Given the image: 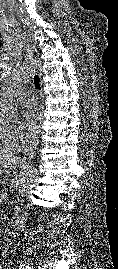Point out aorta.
<instances>
[{
  "label": "aorta",
  "instance_id": "aorta-1",
  "mask_svg": "<svg viewBox=\"0 0 118 269\" xmlns=\"http://www.w3.org/2000/svg\"><path fill=\"white\" fill-rule=\"evenodd\" d=\"M34 71V63L23 61L7 78L0 92V116L14 120L18 115V99ZM38 178L37 169H25L17 183L18 193L23 195L32 188Z\"/></svg>",
  "mask_w": 118,
  "mask_h": 269
}]
</instances>
